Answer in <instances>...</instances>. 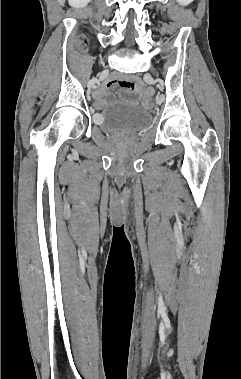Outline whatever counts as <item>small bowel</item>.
Wrapping results in <instances>:
<instances>
[{"label": "small bowel", "mask_w": 241, "mask_h": 379, "mask_svg": "<svg viewBox=\"0 0 241 379\" xmlns=\"http://www.w3.org/2000/svg\"><path fill=\"white\" fill-rule=\"evenodd\" d=\"M119 85L122 89L127 92H131L135 88V84L129 80H121L118 78H110L108 79L100 88H98L94 92V99L97 108H102L105 105V95L108 88ZM127 101L135 102V99L132 98H124Z\"/></svg>", "instance_id": "1"}]
</instances>
